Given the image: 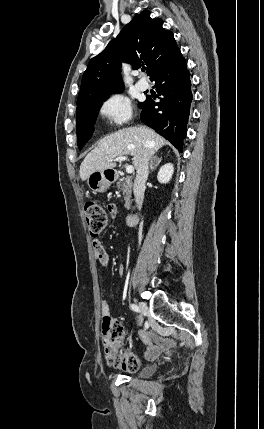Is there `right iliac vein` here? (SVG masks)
<instances>
[{
  "label": "right iliac vein",
  "mask_w": 264,
  "mask_h": 429,
  "mask_svg": "<svg viewBox=\"0 0 264 429\" xmlns=\"http://www.w3.org/2000/svg\"><path fill=\"white\" fill-rule=\"evenodd\" d=\"M138 307H139V310H140L141 313H138L137 317L139 318V322L143 323L144 322V317H145V315L143 314L144 311L142 309V306H140V303H138Z\"/></svg>",
  "instance_id": "63e3f726"
}]
</instances>
